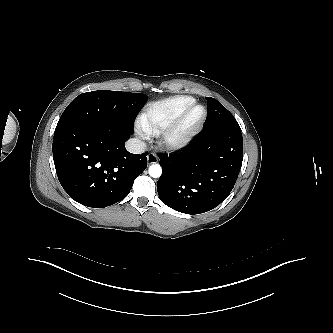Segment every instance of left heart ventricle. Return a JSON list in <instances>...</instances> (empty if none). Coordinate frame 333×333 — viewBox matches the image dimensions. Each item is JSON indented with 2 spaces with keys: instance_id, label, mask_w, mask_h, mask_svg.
<instances>
[{
  "instance_id": "b2bd125f",
  "label": "left heart ventricle",
  "mask_w": 333,
  "mask_h": 333,
  "mask_svg": "<svg viewBox=\"0 0 333 333\" xmlns=\"http://www.w3.org/2000/svg\"><path fill=\"white\" fill-rule=\"evenodd\" d=\"M202 113L201 108H196L189 117V123L196 121Z\"/></svg>"
}]
</instances>
